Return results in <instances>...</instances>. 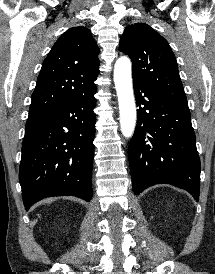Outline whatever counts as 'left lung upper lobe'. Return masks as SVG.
I'll list each match as a JSON object with an SVG mask.
<instances>
[{
	"label": "left lung upper lobe",
	"mask_w": 215,
	"mask_h": 274,
	"mask_svg": "<svg viewBox=\"0 0 215 274\" xmlns=\"http://www.w3.org/2000/svg\"><path fill=\"white\" fill-rule=\"evenodd\" d=\"M119 49L132 60L133 81L187 103L175 55L168 42L149 25L128 26Z\"/></svg>",
	"instance_id": "obj_1"
}]
</instances>
